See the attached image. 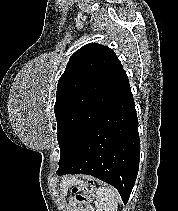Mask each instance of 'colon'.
<instances>
[{"instance_id":"1","label":"colon","mask_w":178,"mask_h":211,"mask_svg":"<svg viewBox=\"0 0 178 211\" xmlns=\"http://www.w3.org/2000/svg\"><path fill=\"white\" fill-rule=\"evenodd\" d=\"M95 184L93 181H86L72 187L71 201L74 204H89L94 198ZM86 211H94L92 207H86Z\"/></svg>"}]
</instances>
